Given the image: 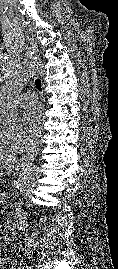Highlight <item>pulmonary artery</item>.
Masks as SVG:
<instances>
[{"label":"pulmonary artery","instance_id":"pulmonary-artery-1","mask_svg":"<svg viewBox=\"0 0 118 269\" xmlns=\"http://www.w3.org/2000/svg\"><path fill=\"white\" fill-rule=\"evenodd\" d=\"M37 99L36 94L33 91H27L20 95L18 101L21 105H31Z\"/></svg>","mask_w":118,"mask_h":269}]
</instances>
